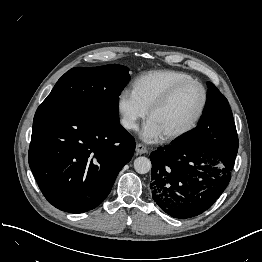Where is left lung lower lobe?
Masks as SVG:
<instances>
[{
    "instance_id": "obj_1",
    "label": "left lung lower lobe",
    "mask_w": 262,
    "mask_h": 262,
    "mask_svg": "<svg viewBox=\"0 0 262 262\" xmlns=\"http://www.w3.org/2000/svg\"><path fill=\"white\" fill-rule=\"evenodd\" d=\"M238 136H223L219 149L175 142L150 155L153 200L168 215L186 219L209 209L227 187Z\"/></svg>"
}]
</instances>
